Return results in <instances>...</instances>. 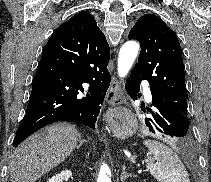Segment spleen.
I'll list each match as a JSON object with an SVG mask.
<instances>
[{
  "instance_id": "spleen-1",
  "label": "spleen",
  "mask_w": 211,
  "mask_h": 182,
  "mask_svg": "<svg viewBox=\"0 0 211 182\" xmlns=\"http://www.w3.org/2000/svg\"><path fill=\"white\" fill-rule=\"evenodd\" d=\"M147 171L159 182H190L188 172L177 154L167 145L145 140Z\"/></svg>"
}]
</instances>
